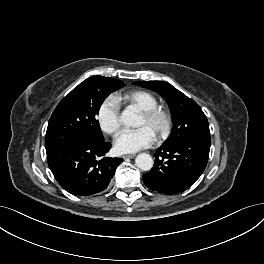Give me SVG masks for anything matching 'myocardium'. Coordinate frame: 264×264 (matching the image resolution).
Returning a JSON list of instances; mask_svg holds the SVG:
<instances>
[{
    "label": "myocardium",
    "mask_w": 264,
    "mask_h": 264,
    "mask_svg": "<svg viewBox=\"0 0 264 264\" xmlns=\"http://www.w3.org/2000/svg\"><path fill=\"white\" fill-rule=\"evenodd\" d=\"M142 116L147 121L158 125V130L156 132L158 138L163 139L169 135L172 126V119L170 113L166 109L156 106L142 111Z\"/></svg>",
    "instance_id": "f54148a6"
}]
</instances>
